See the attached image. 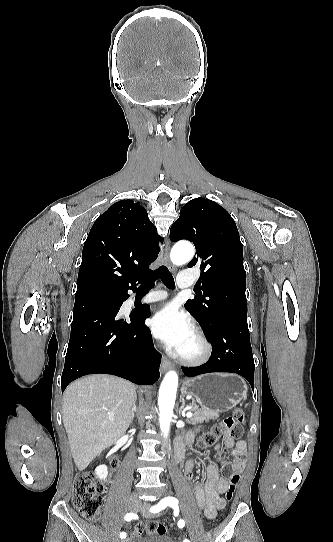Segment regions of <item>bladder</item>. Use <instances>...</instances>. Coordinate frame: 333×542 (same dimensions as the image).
<instances>
[{
    "label": "bladder",
    "instance_id": "obj_1",
    "mask_svg": "<svg viewBox=\"0 0 333 542\" xmlns=\"http://www.w3.org/2000/svg\"><path fill=\"white\" fill-rule=\"evenodd\" d=\"M138 542H176L172 537L162 534H148L143 536Z\"/></svg>",
    "mask_w": 333,
    "mask_h": 542
}]
</instances>
